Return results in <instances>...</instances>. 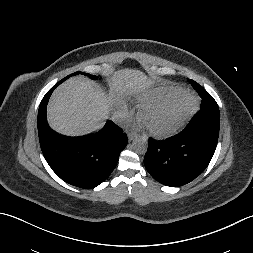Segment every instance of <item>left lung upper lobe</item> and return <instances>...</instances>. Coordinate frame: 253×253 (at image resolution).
<instances>
[{
  "label": "left lung upper lobe",
  "mask_w": 253,
  "mask_h": 253,
  "mask_svg": "<svg viewBox=\"0 0 253 253\" xmlns=\"http://www.w3.org/2000/svg\"><path fill=\"white\" fill-rule=\"evenodd\" d=\"M191 84L202 97L201 108L219 110L214 98L202 86L193 80H191Z\"/></svg>",
  "instance_id": "left-lung-upper-lobe-1"
}]
</instances>
